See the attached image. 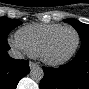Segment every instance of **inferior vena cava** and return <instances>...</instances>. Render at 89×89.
Wrapping results in <instances>:
<instances>
[{
  "label": "inferior vena cava",
  "instance_id": "602c4592",
  "mask_svg": "<svg viewBox=\"0 0 89 89\" xmlns=\"http://www.w3.org/2000/svg\"><path fill=\"white\" fill-rule=\"evenodd\" d=\"M10 57L14 58V59H23L24 55L17 49H10L8 51Z\"/></svg>",
  "mask_w": 89,
  "mask_h": 89
}]
</instances>
